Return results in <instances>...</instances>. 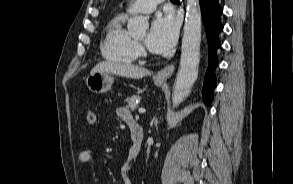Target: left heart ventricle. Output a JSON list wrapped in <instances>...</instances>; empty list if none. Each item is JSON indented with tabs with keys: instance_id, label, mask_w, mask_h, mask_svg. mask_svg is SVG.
Instances as JSON below:
<instances>
[{
	"instance_id": "left-heart-ventricle-1",
	"label": "left heart ventricle",
	"mask_w": 293,
	"mask_h": 184,
	"mask_svg": "<svg viewBox=\"0 0 293 184\" xmlns=\"http://www.w3.org/2000/svg\"><path fill=\"white\" fill-rule=\"evenodd\" d=\"M137 40H138L139 42H144V40H145V36L143 35V36H141V37H138Z\"/></svg>"
}]
</instances>
